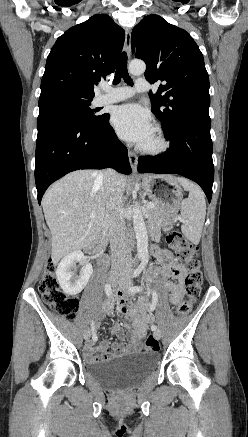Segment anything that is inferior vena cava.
Returning <instances> with one entry per match:
<instances>
[{
	"label": "inferior vena cava",
	"mask_w": 248,
	"mask_h": 437,
	"mask_svg": "<svg viewBox=\"0 0 248 437\" xmlns=\"http://www.w3.org/2000/svg\"><path fill=\"white\" fill-rule=\"evenodd\" d=\"M101 176L104 179L107 195L104 226L109 231L112 267L130 268L131 262L127 258L126 226L122 216L123 192L118 181V174L115 170L109 168L101 172Z\"/></svg>",
	"instance_id": "inferior-vena-cava-1"
}]
</instances>
